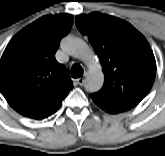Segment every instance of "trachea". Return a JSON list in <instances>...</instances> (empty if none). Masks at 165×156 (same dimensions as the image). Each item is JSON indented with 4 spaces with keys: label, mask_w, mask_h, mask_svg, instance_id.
<instances>
[{
    "label": "trachea",
    "mask_w": 165,
    "mask_h": 156,
    "mask_svg": "<svg viewBox=\"0 0 165 156\" xmlns=\"http://www.w3.org/2000/svg\"><path fill=\"white\" fill-rule=\"evenodd\" d=\"M71 75L73 78H79L83 75V68L79 64H73L71 68Z\"/></svg>",
    "instance_id": "1"
}]
</instances>
